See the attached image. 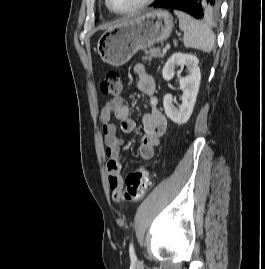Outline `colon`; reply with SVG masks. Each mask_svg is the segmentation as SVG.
<instances>
[{
  "label": "colon",
  "mask_w": 265,
  "mask_h": 269,
  "mask_svg": "<svg viewBox=\"0 0 265 269\" xmlns=\"http://www.w3.org/2000/svg\"><path fill=\"white\" fill-rule=\"evenodd\" d=\"M102 93L118 96L122 92L120 75L115 70H110L100 83ZM150 186V174L147 170L139 168L129 173L125 180V187L120 195V200L134 202L140 200Z\"/></svg>",
  "instance_id": "colon-1"
}]
</instances>
